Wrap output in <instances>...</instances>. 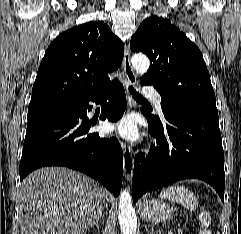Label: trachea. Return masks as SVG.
I'll return each mask as SVG.
<instances>
[{
    "mask_svg": "<svg viewBox=\"0 0 241 234\" xmlns=\"http://www.w3.org/2000/svg\"><path fill=\"white\" fill-rule=\"evenodd\" d=\"M129 90L135 99H143L142 96L137 93L132 86H129Z\"/></svg>",
    "mask_w": 241,
    "mask_h": 234,
    "instance_id": "3493384b",
    "label": "trachea"
}]
</instances>
